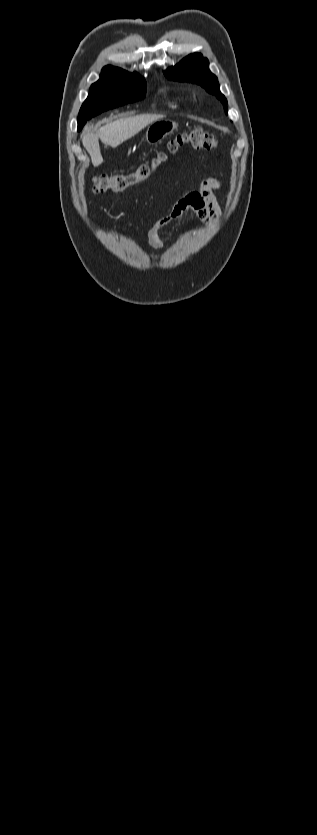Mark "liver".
I'll use <instances>...</instances> for the list:
<instances>
[{
  "label": "liver",
  "mask_w": 317,
  "mask_h": 835,
  "mask_svg": "<svg viewBox=\"0 0 317 835\" xmlns=\"http://www.w3.org/2000/svg\"><path fill=\"white\" fill-rule=\"evenodd\" d=\"M158 120L159 117L148 114L124 117L115 121L107 122V124L102 126L96 134L87 133L84 135L82 143L91 156L93 166L96 167L103 163L99 139L103 144L116 148L123 142L138 134L146 126Z\"/></svg>",
  "instance_id": "6515ba94"
}]
</instances>
